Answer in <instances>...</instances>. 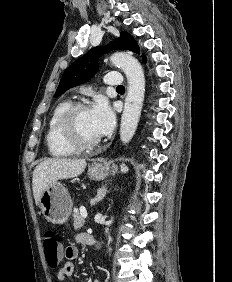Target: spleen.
Masks as SVG:
<instances>
[{
    "label": "spleen",
    "instance_id": "obj_1",
    "mask_svg": "<svg viewBox=\"0 0 232 282\" xmlns=\"http://www.w3.org/2000/svg\"><path fill=\"white\" fill-rule=\"evenodd\" d=\"M121 170H122L123 172H126V171H127V168L124 167V166H121Z\"/></svg>",
    "mask_w": 232,
    "mask_h": 282
}]
</instances>
